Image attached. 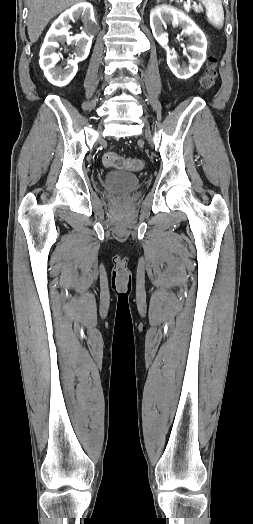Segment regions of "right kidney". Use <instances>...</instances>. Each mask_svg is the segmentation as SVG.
Segmentation results:
<instances>
[{
	"mask_svg": "<svg viewBox=\"0 0 253 524\" xmlns=\"http://www.w3.org/2000/svg\"><path fill=\"white\" fill-rule=\"evenodd\" d=\"M81 18L84 28L81 34L70 36V20ZM95 18L93 6L89 3H79L63 12L50 27L40 50V67L45 77L55 86H66L76 75L78 63L85 60L90 52L93 34L95 33ZM59 42H67L75 48L74 60H69L68 65L56 66L59 56L55 53Z\"/></svg>",
	"mask_w": 253,
	"mask_h": 524,
	"instance_id": "obj_1",
	"label": "right kidney"
}]
</instances>
